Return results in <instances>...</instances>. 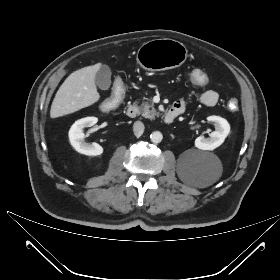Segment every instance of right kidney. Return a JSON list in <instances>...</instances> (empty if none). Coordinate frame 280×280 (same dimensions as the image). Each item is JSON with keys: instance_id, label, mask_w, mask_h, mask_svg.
<instances>
[{"instance_id": "obj_1", "label": "right kidney", "mask_w": 280, "mask_h": 280, "mask_svg": "<svg viewBox=\"0 0 280 280\" xmlns=\"http://www.w3.org/2000/svg\"><path fill=\"white\" fill-rule=\"evenodd\" d=\"M96 117H86L77 120L69 130V140L75 150L88 156H98L103 153V148L97 143H87L84 141L83 129L91 127L97 123Z\"/></svg>"}]
</instances>
